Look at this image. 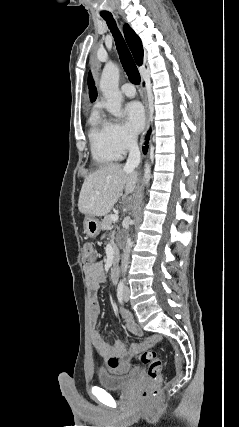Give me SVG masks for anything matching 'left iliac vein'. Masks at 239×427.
Listing matches in <instances>:
<instances>
[{
  "instance_id": "1",
  "label": "left iliac vein",
  "mask_w": 239,
  "mask_h": 427,
  "mask_svg": "<svg viewBox=\"0 0 239 427\" xmlns=\"http://www.w3.org/2000/svg\"><path fill=\"white\" fill-rule=\"evenodd\" d=\"M124 300H125V302H128V300H129V290H128V288H125Z\"/></svg>"
}]
</instances>
